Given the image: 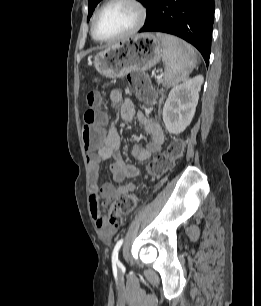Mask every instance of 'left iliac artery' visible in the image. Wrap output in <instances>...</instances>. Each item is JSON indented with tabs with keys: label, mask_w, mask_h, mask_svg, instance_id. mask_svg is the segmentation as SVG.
I'll use <instances>...</instances> for the list:
<instances>
[{
	"label": "left iliac artery",
	"mask_w": 261,
	"mask_h": 306,
	"mask_svg": "<svg viewBox=\"0 0 261 306\" xmlns=\"http://www.w3.org/2000/svg\"><path fill=\"white\" fill-rule=\"evenodd\" d=\"M123 241H124L123 238L120 239V240L116 243V245H115V247H114V249H113V253H112V263H114V264L119 263V260H118V251H119L120 247L122 246Z\"/></svg>",
	"instance_id": "obj_1"
}]
</instances>
